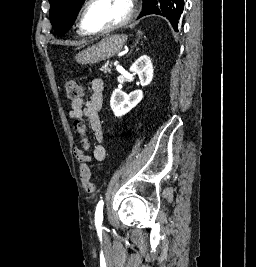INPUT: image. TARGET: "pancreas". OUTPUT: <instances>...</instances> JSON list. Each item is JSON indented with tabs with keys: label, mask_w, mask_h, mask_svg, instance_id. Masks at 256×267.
<instances>
[{
	"label": "pancreas",
	"mask_w": 256,
	"mask_h": 267,
	"mask_svg": "<svg viewBox=\"0 0 256 267\" xmlns=\"http://www.w3.org/2000/svg\"><path fill=\"white\" fill-rule=\"evenodd\" d=\"M109 64H105V66H102L101 70H104V74H107V72H110V68H108Z\"/></svg>",
	"instance_id": "1"
}]
</instances>
